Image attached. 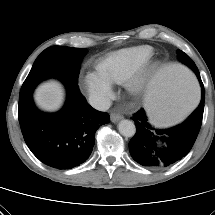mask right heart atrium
Here are the masks:
<instances>
[{
	"label": "right heart atrium",
	"mask_w": 215,
	"mask_h": 215,
	"mask_svg": "<svg viewBox=\"0 0 215 215\" xmlns=\"http://www.w3.org/2000/svg\"><path fill=\"white\" fill-rule=\"evenodd\" d=\"M81 85L91 103L98 108L105 107L113 96L111 82L97 71L86 72L81 79Z\"/></svg>",
	"instance_id": "d8ad5b80"
}]
</instances>
